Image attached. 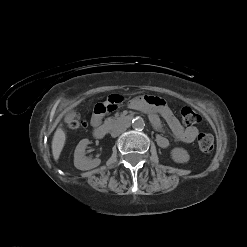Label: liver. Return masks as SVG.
Listing matches in <instances>:
<instances>
[{
  "label": "liver",
  "mask_w": 247,
  "mask_h": 247,
  "mask_svg": "<svg viewBox=\"0 0 247 247\" xmlns=\"http://www.w3.org/2000/svg\"><path fill=\"white\" fill-rule=\"evenodd\" d=\"M66 141L65 131L58 127L54 133L52 140V154L55 161H57L60 157V154L63 150Z\"/></svg>",
  "instance_id": "liver-1"
}]
</instances>
